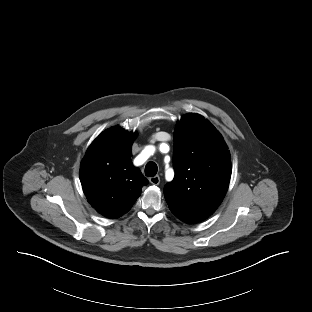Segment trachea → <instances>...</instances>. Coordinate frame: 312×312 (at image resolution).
Returning a JSON list of instances; mask_svg holds the SVG:
<instances>
[{"instance_id": "trachea-1", "label": "trachea", "mask_w": 312, "mask_h": 312, "mask_svg": "<svg viewBox=\"0 0 312 312\" xmlns=\"http://www.w3.org/2000/svg\"><path fill=\"white\" fill-rule=\"evenodd\" d=\"M158 171V167L154 162H148L145 166V175L146 176H155Z\"/></svg>"}]
</instances>
